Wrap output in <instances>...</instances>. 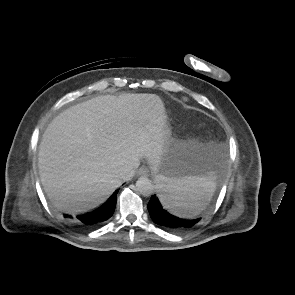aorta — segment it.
Here are the masks:
<instances>
[{
    "instance_id": "obj_1",
    "label": "aorta",
    "mask_w": 295,
    "mask_h": 295,
    "mask_svg": "<svg viewBox=\"0 0 295 295\" xmlns=\"http://www.w3.org/2000/svg\"><path fill=\"white\" fill-rule=\"evenodd\" d=\"M136 189L143 196H150L155 190L152 181L147 177H140L136 181Z\"/></svg>"
}]
</instances>
